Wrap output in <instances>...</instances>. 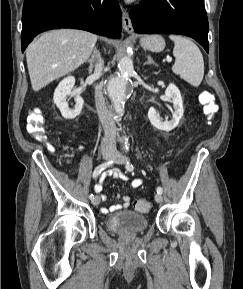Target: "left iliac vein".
<instances>
[{"mask_svg": "<svg viewBox=\"0 0 243 289\" xmlns=\"http://www.w3.org/2000/svg\"><path fill=\"white\" fill-rule=\"evenodd\" d=\"M113 158H114L115 162L118 163V164H124L128 160V158L126 156H123V155H121L118 152L114 154ZM162 200H163L162 195L157 193L155 195V201L157 203H161Z\"/></svg>", "mask_w": 243, "mask_h": 289, "instance_id": "obj_1", "label": "left iliac vein"}]
</instances>
